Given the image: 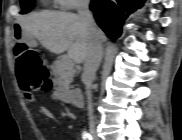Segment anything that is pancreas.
Instances as JSON below:
<instances>
[{"label":"pancreas","instance_id":"pancreas-1","mask_svg":"<svg viewBox=\"0 0 182 140\" xmlns=\"http://www.w3.org/2000/svg\"><path fill=\"white\" fill-rule=\"evenodd\" d=\"M52 71L57 91H67L76 73L73 62H67L65 58L58 59L53 63Z\"/></svg>","mask_w":182,"mask_h":140}]
</instances>
